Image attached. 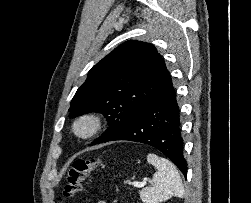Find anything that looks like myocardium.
Listing matches in <instances>:
<instances>
[{
  "label": "myocardium",
  "instance_id": "1",
  "mask_svg": "<svg viewBox=\"0 0 251 203\" xmlns=\"http://www.w3.org/2000/svg\"><path fill=\"white\" fill-rule=\"evenodd\" d=\"M104 126V118L96 112L79 115L72 124V132L79 139H89L97 135Z\"/></svg>",
  "mask_w": 251,
  "mask_h": 203
}]
</instances>
